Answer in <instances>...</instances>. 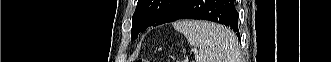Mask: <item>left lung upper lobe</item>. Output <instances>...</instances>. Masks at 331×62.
<instances>
[{
    "label": "left lung upper lobe",
    "mask_w": 331,
    "mask_h": 62,
    "mask_svg": "<svg viewBox=\"0 0 331 62\" xmlns=\"http://www.w3.org/2000/svg\"><path fill=\"white\" fill-rule=\"evenodd\" d=\"M184 0H138L132 17L131 39L136 35L140 24L158 26L165 23Z\"/></svg>",
    "instance_id": "obj_1"
}]
</instances>
